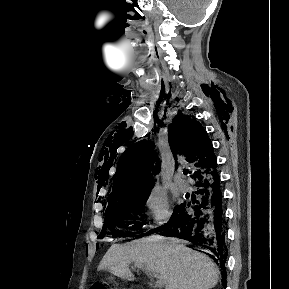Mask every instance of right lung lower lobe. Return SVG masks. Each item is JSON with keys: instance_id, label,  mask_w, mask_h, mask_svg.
I'll use <instances>...</instances> for the list:
<instances>
[{"instance_id": "obj_1", "label": "right lung lower lobe", "mask_w": 289, "mask_h": 289, "mask_svg": "<svg viewBox=\"0 0 289 289\" xmlns=\"http://www.w3.org/2000/svg\"><path fill=\"white\" fill-rule=\"evenodd\" d=\"M219 183L216 169L197 179L195 184L198 189L197 200H193L192 205L183 203L177 206L165 225L147 233L185 239L207 251L206 254L221 268L222 283L225 287L227 226Z\"/></svg>"}]
</instances>
